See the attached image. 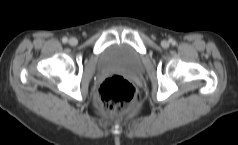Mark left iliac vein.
Listing matches in <instances>:
<instances>
[{"instance_id": "4c4485c4", "label": "left iliac vein", "mask_w": 238, "mask_h": 145, "mask_svg": "<svg viewBox=\"0 0 238 145\" xmlns=\"http://www.w3.org/2000/svg\"><path fill=\"white\" fill-rule=\"evenodd\" d=\"M161 45H162V47L167 48V47H169V42L167 40H163L161 42Z\"/></svg>"}]
</instances>
